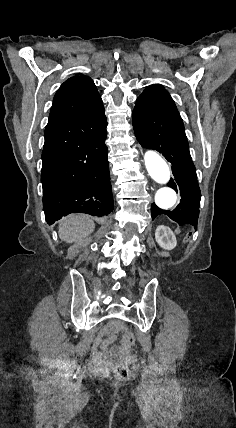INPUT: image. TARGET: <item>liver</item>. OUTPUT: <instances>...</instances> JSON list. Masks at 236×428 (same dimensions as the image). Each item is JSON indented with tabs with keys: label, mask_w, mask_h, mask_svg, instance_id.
Returning <instances> with one entry per match:
<instances>
[{
	"label": "liver",
	"mask_w": 236,
	"mask_h": 428,
	"mask_svg": "<svg viewBox=\"0 0 236 428\" xmlns=\"http://www.w3.org/2000/svg\"><path fill=\"white\" fill-rule=\"evenodd\" d=\"M95 224L85 214L80 216H68L59 224V238L66 244H73L82 238H87L94 232Z\"/></svg>",
	"instance_id": "obj_1"
}]
</instances>
